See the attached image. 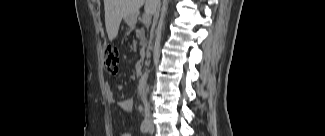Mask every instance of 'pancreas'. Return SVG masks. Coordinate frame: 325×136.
I'll list each match as a JSON object with an SVG mask.
<instances>
[{"mask_svg": "<svg viewBox=\"0 0 325 136\" xmlns=\"http://www.w3.org/2000/svg\"><path fill=\"white\" fill-rule=\"evenodd\" d=\"M135 28H136L135 32L138 33V36H139L140 40H147L146 39V34H145L146 31H147L146 28H144V27L140 28L139 24H136Z\"/></svg>", "mask_w": 325, "mask_h": 136, "instance_id": "1", "label": "pancreas"}]
</instances>
